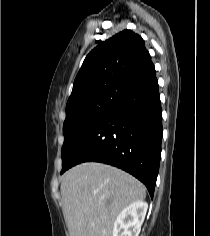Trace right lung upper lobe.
Here are the masks:
<instances>
[{"label": "right lung upper lobe", "mask_w": 210, "mask_h": 236, "mask_svg": "<svg viewBox=\"0 0 210 236\" xmlns=\"http://www.w3.org/2000/svg\"><path fill=\"white\" fill-rule=\"evenodd\" d=\"M155 72L144 40L124 30L94 48L79 70L66 110L108 91H125Z\"/></svg>", "instance_id": "obj_1"}]
</instances>
